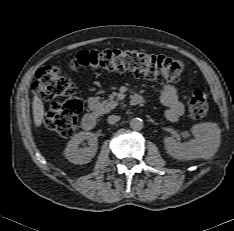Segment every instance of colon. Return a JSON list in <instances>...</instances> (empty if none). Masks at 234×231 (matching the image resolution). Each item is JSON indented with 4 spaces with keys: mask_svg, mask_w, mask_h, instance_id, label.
<instances>
[{
    "mask_svg": "<svg viewBox=\"0 0 234 231\" xmlns=\"http://www.w3.org/2000/svg\"><path fill=\"white\" fill-rule=\"evenodd\" d=\"M70 66L73 69L130 71L139 78L160 83L177 81L185 69L184 61L178 58L118 49L79 52L70 60ZM33 90L46 99L63 98L52 105L46 115L45 125L62 137H72L76 132L78 115L82 110L81 102L75 98L74 83L61 76L55 67L46 66L37 71ZM187 111L194 120L206 116L208 103L202 91L192 93Z\"/></svg>",
    "mask_w": 234,
    "mask_h": 231,
    "instance_id": "obj_1",
    "label": "colon"
}]
</instances>
